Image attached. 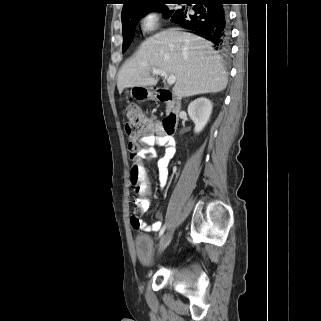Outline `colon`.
<instances>
[{
  "label": "colon",
  "mask_w": 321,
  "mask_h": 321,
  "mask_svg": "<svg viewBox=\"0 0 321 321\" xmlns=\"http://www.w3.org/2000/svg\"><path fill=\"white\" fill-rule=\"evenodd\" d=\"M125 118V131L130 139L129 152L133 163L131 180L136 186L137 198H150L146 170L139 158V152L142 150L139 138L151 131L152 122L136 105H129L126 108ZM140 214L141 213L135 209L131 215V219L137 222L140 219Z\"/></svg>",
  "instance_id": "1"
}]
</instances>
